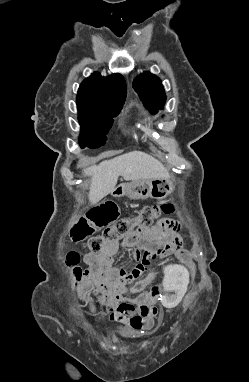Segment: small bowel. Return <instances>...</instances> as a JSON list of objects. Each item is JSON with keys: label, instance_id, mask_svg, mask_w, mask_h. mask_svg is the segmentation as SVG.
I'll return each instance as SVG.
<instances>
[{"label": "small bowel", "instance_id": "obj_1", "mask_svg": "<svg viewBox=\"0 0 249 382\" xmlns=\"http://www.w3.org/2000/svg\"><path fill=\"white\" fill-rule=\"evenodd\" d=\"M180 227L177 220L162 218L150 228L137 230L130 237L105 245L97 253L88 252L84 255L83 260L88 268L83 291L106 307L105 318L138 331L153 327V318L157 313L151 311L155 310L154 303L159 299L145 292L150 282L144 279L134 281L137 278L130 276L128 271L115 268L114 255L120 248H130L132 261H142V253L137 251V246L159 247L164 253L175 251L177 254L183 244L178 233ZM127 292L137 296L128 297L125 295ZM89 309L94 312L92 305H89Z\"/></svg>", "mask_w": 249, "mask_h": 382}]
</instances>
